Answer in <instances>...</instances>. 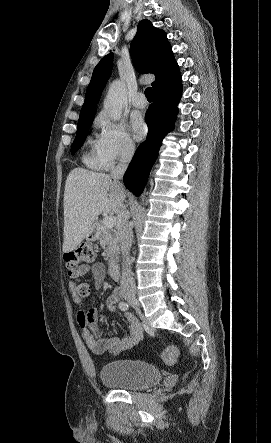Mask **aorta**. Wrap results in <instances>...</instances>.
<instances>
[{
    "label": "aorta",
    "mask_w": 271,
    "mask_h": 443,
    "mask_svg": "<svg viewBox=\"0 0 271 443\" xmlns=\"http://www.w3.org/2000/svg\"><path fill=\"white\" fill-rule=\"evenodd\" d=\"M126 102L127 94L125 84H123V82H120V80H114V82L110 84L108 94L103 104L105 112H107L108 116H110L113 122H117V120H120L122 110ZM127 263V269L131 273L129 257H127Z\"/></svg>",
    "instance_id": "762f6f07"
}]
</instances>
